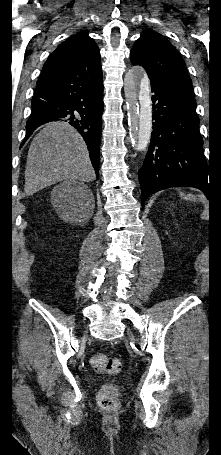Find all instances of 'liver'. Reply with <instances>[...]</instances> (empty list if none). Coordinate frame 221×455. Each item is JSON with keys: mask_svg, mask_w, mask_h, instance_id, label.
<instances>
[{"mask_svg": "<svg viewBox=\"0 0 221 455\" xmlns=\"http://www.w3.org/2000/svg\"><path fill=\"white\" fill-rule=\"evenodd\" d=\"M94 179L86 144L71 125L51 122L34 137L25 169L27 196L63 180Z\"/></svg>", "mask_w": 221, "mask_h": 455, "instance_id": "obj_1", "label": "liver"}]
</instances>
